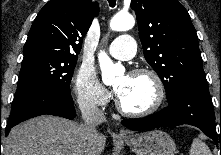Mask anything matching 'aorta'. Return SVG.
I'll list each match as a JSON object with an SVG mask.
<instances>
[{"label": "aorta", "mask_w": 221, "mask_h": 155, "mask_svg": "<svg viewBox=\"0 0 221 155\" xmlns=\"http://www.w3.org/2000/svg\"><path fill=\"white\" fill-rule=\"evenodd\" d=\"M135 24L133 16L130 14H117L110 22V28L114 31H128ZM98 61L102 72V80L105 84L111 83L115 79V75L120 70V66L113 64L110 57L105 52H100Z\"/></svg>", "instance_id": "aorta-1"}]
</instances>
